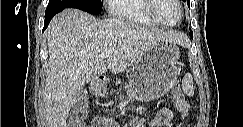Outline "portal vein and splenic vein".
<instances>
[{
    "label": "portal vein and splenic vein",
    "mask_w": 243,
    "mask_h": 127,
    "mask_svg": "<svg viewBox=\"0 0 243 127\" xmlns=\"http://www.w3.org/2000/svg\"><path fill=\"white\" fill-rule=\"evenodd\" d=\"M111 54V50H104L102 53H101V57L106 59L110 56Z\"/></svg>",
    "instance_id": "1"
}]
</instances>
